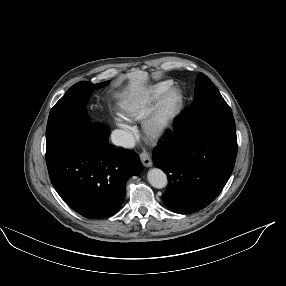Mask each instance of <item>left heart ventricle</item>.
I'll return each instance as SVG.
<instances>
[{
  "mask_svg": "<svg viewBox=\"0 0 286 286\" xmlns=\"http://www.w3.org/2000/svg\"><path fill=\"white\" fill-rule=\"evenodd\" d=\"M172 104H173V100H171V101L169 102L168 108H170V107L172 106Z\"/></svg>",
  "mask_w": 286,
  "mask_h": 286,
  "instance_id": "b2bd125f",
  "label": "left heart ventricle"
}]
</instances>
